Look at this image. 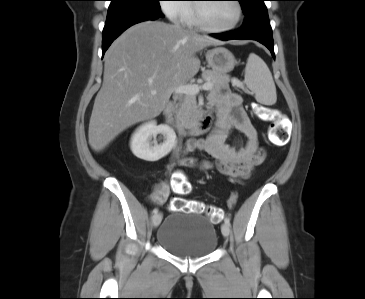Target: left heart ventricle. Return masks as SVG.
I'll use <instances>...</instances> for the list:
<instances>
[{"mask_svg":"<svg viewBox=\"0 0 365 299\" xmlns=\"http://www.w3.org/2000/svg\"><path fill=\"white\" fill-rule=\"evenodd\" d=\"M201 3L205 21L213 27L223 28L232 25L237 18V8L234 2Z\"/></svg>","mask_w":365,"mask_h":299,"instance_id":"left-heart-ventricle-1","label":"left heart ventricle"}]
</instances>
